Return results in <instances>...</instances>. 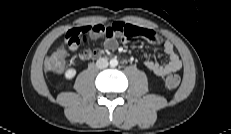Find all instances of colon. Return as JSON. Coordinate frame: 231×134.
<instances>
[{"mask_svg": "<svg viewBox=\"0 0 231 134\" xmlns=\"http://www.w3.org/2000/svg\"><path fill=\"white\" fill-rule=\"evenodd\" d=\"M66 61V54L64 51L59 50L52 53L46 59V68L49 71L60 73L63 71ZM180 84V77L176 74H171L165 79V85L168 89H175Z\"/></svg>", "mask_w": 231, "mask_h": 134, "instance_id": "obj_1", "label": "colon"}]
</instances>
